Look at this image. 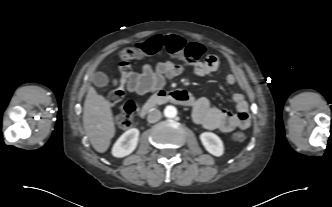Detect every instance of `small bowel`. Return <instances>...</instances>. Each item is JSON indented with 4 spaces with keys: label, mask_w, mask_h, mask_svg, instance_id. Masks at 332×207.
Here are the masks:
<instances>
[{
    "label": "small bowel",
    "mask_w": 332,
    "mask_h": 207,
    "mask_svg": "<svg viewBox=\"0 0 332 207\" xmlns=\"http://www.w3.org/2000/svg\"><path fill=\"white\" fill-rule=\"evenodd\" d=\"M219 59L216 55H208L204 61L197 63L193 72L196 76L204 77L214 73L219 68ZM185 67L172 61L158 63L155 67L145 64L141 71H135L131 67L127 73L122 74L121 83L126 84L127 90L139 95L163 88L168 80L182 75ZM229 85L236 83L234 74L229 73L225 77ZM234 112H229L211 105L205 97L194 99L193 118L196 123L210 130L231 132L235 129H245L250 125L248 103L241 92L232 95Z\"/></svg>",
    "instance_id": "small-bowel-1"
}]
</instances>
